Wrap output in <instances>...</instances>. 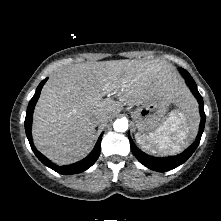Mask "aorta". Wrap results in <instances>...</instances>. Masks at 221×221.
Segmentation results:
<instances>
[{
    "instance_id": "1",
    "label": "aorta",
    "mask_w": 221,
    "mask_h": 221,
    "mask_svg": "<svg viewBox=\"0 0 221 221\" xmlns=\"http://www.w3.org/2000/svg\"><path fill=\"white\" fill-rule=\"evenodd\" d=\"M113 128L116 132H125L128 129V121L126 119H117L113 124Z\"/></svg>"
}]
</instances>
